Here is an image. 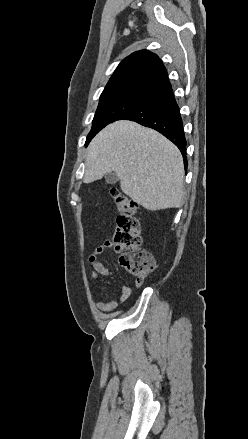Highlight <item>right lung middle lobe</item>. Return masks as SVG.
Returning a JSON list of instances; mask_svg holds the SVG:
<instances>
[{
    "label": "right lung middle lobe",
    "mask_w": 248,
    "mask_h": 439,
    "mask_svg": "<svg viewBox=\"0 0 248 439\" xmlns=\"http://www.w3.org/2000/svg\"><path fill=\"white\" fill-rule=\"evenodd\" d=\"M149 96L138 93H116L100 97L93 125L87 136L85 145L106 125L121 119L125 114L147 101Z\"/></svg>",
    "instance_id": "right-lung-middle-lobe-1"
}]
</instances>
